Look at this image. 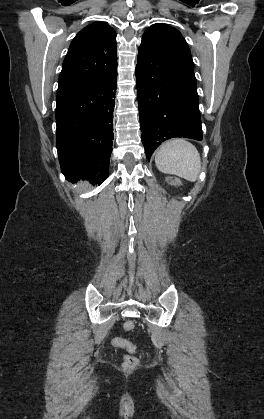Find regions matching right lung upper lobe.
<instances>
[{
    "instance_id": "obj_1",
    "label": "right lung upper lobe",
    "mask_w": 264,
    "mask_h": 419,
    "mask_svg": "<svg viewBox=\"0 0 264 419\" xmlns=\"http://www.w3.org/2000/svg\"><path fill=\"white\" fill-rule=\"evenodd\" d=\"M116 33L107 23L94 22L73 39L63 62L57 92L101 82L117 72Z\"/></svg>"
}]
</instances>
